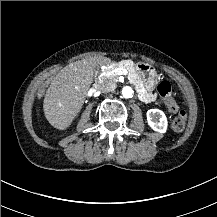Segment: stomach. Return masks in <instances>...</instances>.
Here are the masks:
<instances>
[{"label":"stomach","mask_w":217,"mask_h":217,"mask_svg":"<svg viewBox=\"0 0 217 217\" xmlns=\"http://www.w3.org/2000/svg\"><path fill=\"white\" fill-rule=\"evenodd\" d=\"M135 69L140 75L141 80L143 81V86L148 92H152L157 83V73L155 68L147 63H137L135 64Z\"/></svg>","instance_id":"obj_1"}]
</instances>
